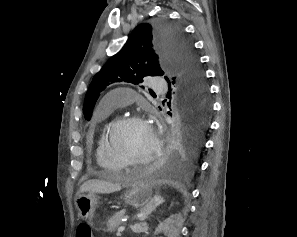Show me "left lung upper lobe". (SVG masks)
Wrapping results in <instances>:
<instances>
[{"label": "left lung upper lobe", "mask_w": 297, "mask_h": 237, "mask_svg": "<svg viewBox=\"0 0 297 237\" xmlns=\"http://www.w3.org/2000/svg\"><path fill=\"white\" fill-rule=\"evenodd\" d=\"M165 74H174L173 81ZM145 76H165L177 93L197 105L209 103L207 86L191 43L179 27L160 21L138 25L124 47L94 76L84 100L85 118H91L100 92L110 83L138 84Z\"/></svg>", "instance_id": "left-lung-upper-lobe-1"}]
</instances>
